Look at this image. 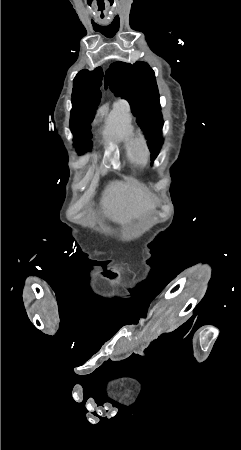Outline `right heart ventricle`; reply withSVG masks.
<instances>
[{
  "label": "right heart ventricle",
  "mask_w": 241,
  "mask_h": 450,
  "mask_svg": "<svg viewBox=\"0 0 241 450\" xmlns=\"http://www.w3.org/2000/svg\"><path fill=\"white\" fill-rule=\"evenodd\" d=\"M105 141L114 146L118 143H124L129 154L135 155V149L132 144H136L133 139V127L129 110L124 104H117L108 114L103 129Z\"/></svg>",
  "instance_id": "obj_1"
}]
</instances>
